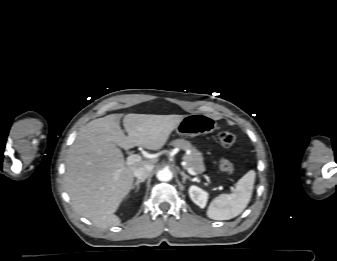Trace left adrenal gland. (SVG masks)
I'll use <instances>...</instances> for the list:
<instances>
[{
    "mask_svg": "<svg viewBox=\"0 0 337 261\" xmlns=\"http://www.w3.org/2000/svg\"><path fill=\"white\" fill-rule=\"evenodd\" d=\"M180 174H181V176H182V183H183V184H185V181H186L187 179L192 180V178H191L190 176H188L184 171H181Z\"/></svg>",
    "mask_w": 337,
    "mask_h": 261,
    "instance_id": "left-adrenal-gland-1",
    "label": "left adrenal gland"
}]
</instances>
